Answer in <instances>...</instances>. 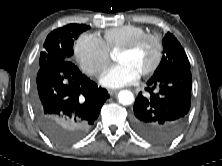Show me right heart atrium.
Wrapping results in <instances>:
<instances>
[{
    "label": "right heart atrium",
    "instance_id": "obj_1",
    "mask_svg": "<svg viewBox=\"0 0 222 166\" xmlns=\"http://www.w3.org/2000/svg\"><path fill=\"white\" fill-rule=\"evenodd\" d=\"M73 53L81 70L92 78L98 77L110 61V53L103 40L91 33L78 37Z\"/></svg>",
    "mask_w": 222,
    "mask_h": 166
}]
</instances>
